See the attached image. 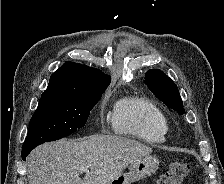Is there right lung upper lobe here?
Returning <instances> with one entry per match:
<instances>
[{
    "instance_id": "1",
    "label": "right lung upper lobe",
    "mask_w": 224,
    "mask_h": 184,
    "mask_svg": "<svg viewBox=\"0 0 224 184\" xmlns=\"http://www.w3.org/2000/svg\"><path fill=\"white\" fill-rule=\"evenodd\" d=\"M111 77L99 69L74 62H66L55 71L42 96L71 97L87 95L104 90Z\"/></svg>"
}]
</instances>
